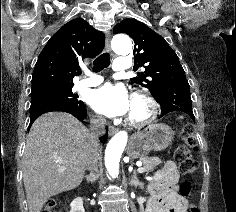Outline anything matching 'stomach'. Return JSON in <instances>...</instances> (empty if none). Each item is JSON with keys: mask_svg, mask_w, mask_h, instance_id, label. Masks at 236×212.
Returning a JSON list of instances; mask_svg holds the SVG:
<instances>
[{"mask_svg": "<svg viewBox=\"0 0 236 212\" xmlns=\"http://www.w3.org/2000/svg\"><path fill=\"white\" fill-rule=\"evenodd\" d=\"M173 138L174 131L168 125L163 123L150 125L132 136L128 154L132 158H139L151 150H164L171 145Z\"/></svg>", "mask_w": 236, "mask_h": 212, "instance_id": "1", "label": "stomach"}]
</instances>
